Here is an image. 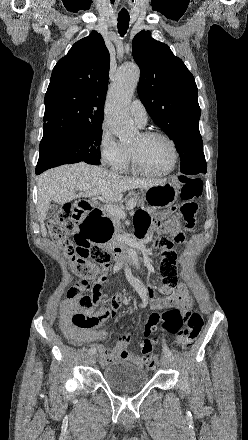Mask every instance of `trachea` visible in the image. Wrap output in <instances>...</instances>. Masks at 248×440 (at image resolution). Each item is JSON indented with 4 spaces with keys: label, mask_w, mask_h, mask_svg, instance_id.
<instances>
[{
    "label": "trachea",
    "mask_w": 248,
    "mask_h": 440,
    "mask_svg": "<svg viewBox=\"0 0 248 440\" xmlns=\"http://www.w3.org/2000/svg\"><path fill=\"white\" fill-rule=\"evenodd\" d=\"M130 17L128 14H118V32L121 36H124L129 27Z\"/></svg>",
    "instance_id": "1"
}]
</instances>
